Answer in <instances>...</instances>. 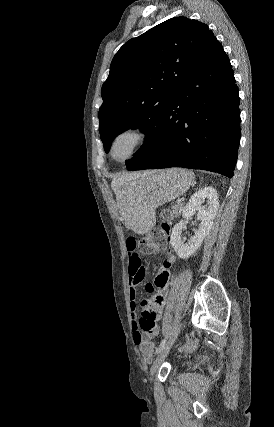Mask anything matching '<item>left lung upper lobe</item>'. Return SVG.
<instances>
[{
  "mask_svg": "<svg viewBox=\"0 0 274 427\" xmlns=\"http://www.w3.org/2000/svg\"><path fill=\"white\" fill-rule=\"evenodd\" d=\"M213 39L206 24L176 17L119 49L102 86L103 104L98 113L106 153L113 139L131 128H139L146 141L126 165L151 148L177 90Z\"/></svg>",
  "mask_w": 274,
  "mask_h": 427,
  "instance_id": "left-lung-upper-lobe-1",
  "label": "left lung upper lobe"
}]
</instances>
